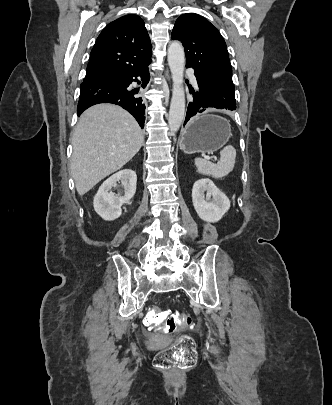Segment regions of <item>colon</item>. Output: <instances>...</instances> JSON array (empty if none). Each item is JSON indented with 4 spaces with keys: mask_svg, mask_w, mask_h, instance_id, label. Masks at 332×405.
<instances>
[{
    "mask_svg": "<svg viewBox=\"0 0 332 405\" xmlns=\"http://www.w3.org/2000/svg\"><path fill=\"white\" fill-rule=\"evenodd\" d=\"M144 320L146 328H164L169 333L193 325L190 315L169 313L160 307H153ZM196 359L194 340L190 336H183L177 344L160 351L154 359V364L162 369H187L195 364Z\"/></svg>",
    "mask_w": 332,
    "mask_h": 405,
    "instance_id": "obj_1",
    "label": "colon"
}]
</instances>
